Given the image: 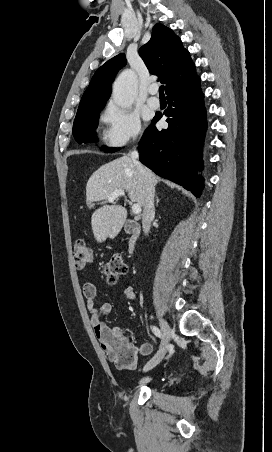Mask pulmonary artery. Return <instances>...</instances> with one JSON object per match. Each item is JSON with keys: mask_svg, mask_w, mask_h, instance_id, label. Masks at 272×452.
<instances>
[{"mask_svg": "<svg viewBox=\"0 0 272 452\" xmlns=\"http://www.w3.org/2000/svg\"><path fill=\"white\" fill-rule=\"evenodd\" d=\"M150 97L147 100V104L150 108L152 109H158L160 107V101L159 99L155 96V94L157 93V87L156 86H151L148 90Z\"/></svg>", "mask_w": 272, "mask_h": 452, "instance_id": "e3ab8cb5", "label": "pulmonary artery"}]
</instances>
